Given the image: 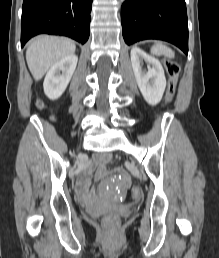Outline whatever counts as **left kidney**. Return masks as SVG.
I'll list each match as a JSON object with an SVG mask.
<instances>
[{
	"label": "left kidney",
	"mask_w": 219,
	"mask_h": 258,
	"mask_svg": "<svg viewBox=\"0 0 219 258\" xmlns=\"http://www.w3.org/2000/svg\"><path fill=\"white\" fill-rule=\"evenodd\" d=\"M148 63V70L142 71V61ZM131 63L137 85L150 105L158 104L166 88V78L161 63L138 47L131 49Z\"/></svg>",
	"instance_id": "obj_1"
}]
</instances>
